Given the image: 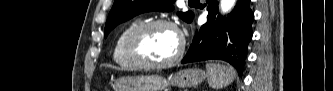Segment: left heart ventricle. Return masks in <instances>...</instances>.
<instances>
[{
	"label": "left heart ventricle",
	"instance_id": "obj_1",
	"mask_svg": "<svg viewBox=\"0 0 333 91\" xmlns=\"http://www.w3.org/2000/svg\"><path fill=\"white\" fill-rule=\"evenodd\" d=\"M179 47V35L169 27L152 29L141 39V52L151 62L170 60Z\"/></svg>",
	"mask_w": 333,
	"mask_h": 91
}]
</instances>
